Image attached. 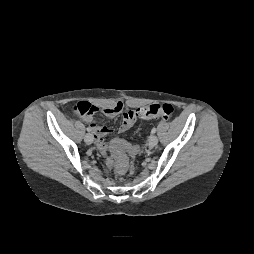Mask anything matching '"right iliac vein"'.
Instances as JSON below:
<instances>
[{
	"instance_id": "63e3f726",
	"label": "right iliac vein",
	"mask_w": 254,
	"mask_h": 254,
	"mask_svg": "<svg viewBox=\"0 0 254 254\" xmlns=\"http://www.w3.org/2000/svg\"><path fill=\"white\" fill-rule=\"evenodd\" d=\"M84 141L87 144H91L93 142V136H92V134H90V133L86 134L85 137H84Z\"/></svg>"
}]
</instances>
